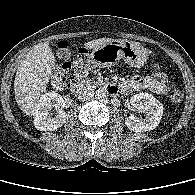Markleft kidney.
<instances>
[{
    "instance_id": "1",
    "label": "left kidney",
    "mask_w": 195,
    "mask_h": 195,
    "mask_svg": "<svg viewBox=\"0 0 195 195\" xmlns=\"http://www.w3.org/2000/svg\"><path fill=\"white\" fill-rule=\"evenodd\" d=\"M130 104L135 111L145 114L144 119H140L134 115L125 119V124L130 130L146 132L158 126L163 115V105L152 94H135L131 97Z\"/></svg>"
}]
</instances>
